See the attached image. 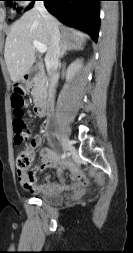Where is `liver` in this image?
<instances>
[{
    "label": "liver",
    "instance_id": "liver-1",
    "mask_svg": "<svg viewBox=\"0 0 133 253\" xmlns=\"http://www.w3.org/2000/svg\"><path fill=\"white\" fill-rule=\"evenodd\" d=\"M56 21V20H55ZM59 26L60 23L56 21ZM64 35L67 32L64 30ZM74 38L80 45L84 42L81 34ZM37 40L50 48V37L45 20L35 8L27 11L16 21L7 35L4 49V58L11 80L15 83L30 71L35 62V47L33 41Z\"/></svg>",
    "mask_w": 133,
    "mask_h": 253
}]
</instances>
